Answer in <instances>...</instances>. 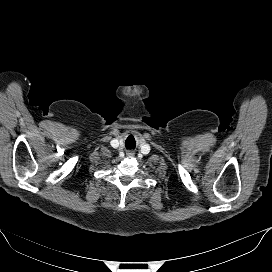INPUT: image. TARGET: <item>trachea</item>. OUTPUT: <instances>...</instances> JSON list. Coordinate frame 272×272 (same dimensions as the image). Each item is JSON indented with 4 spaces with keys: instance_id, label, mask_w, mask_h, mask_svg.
<instances>
[{
    "instance_id": "trachea-1",
    "label": "trachea",
    "mask_w": 272,
    "mask_h": 272,
    "mask_svg": "<svg viewBox=\"0 0 272 272\" xmlns=\"http://www.w3.org/2000/svg\"><path fill=\"white\" fill-rule=\"evenodd\" d=\"M125 146L127 149H134L135 148V140L132 136H129L125 141Z\"/></svg>"
}]
</instances>
